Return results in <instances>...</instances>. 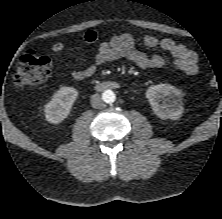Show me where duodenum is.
<instances>
[{
  "mask_svg": "<svg viewBox=\"0 0 222 219\" xmlns=\"http://www.w3.org/2000/svg\"><path fill=\"white\" fill-rule=\"evenodd\" d=\"M99 89L106 90V89H117L119 87V84L114 81H108L105 83H102L97 86Z\"/></svg>",
  "mask_w": 222,
  "mask_h": 219,
  "instance_id": "duodenum-1",
  "label": "duodenum"
}]
</instances>
